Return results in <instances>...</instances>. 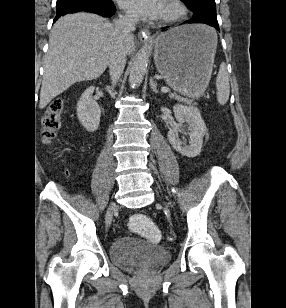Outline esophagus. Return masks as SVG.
<instances>
[{"label":"esophagus","instance_id":"1","mask_svg":"<svg viewBox=\"0 0 286 308\" xmlns=\"http://www.w3.org/2000/svg\"><path fill=\"white\" fill-rule=\"evenodd\" d=\"M138 38L140 41L145 42V41H149L152 39V36L150 34V31L148 29H144L142 30L139 34H138Z\"/></svg>","mask_w":286,"mask_h":308}]
</instances>
